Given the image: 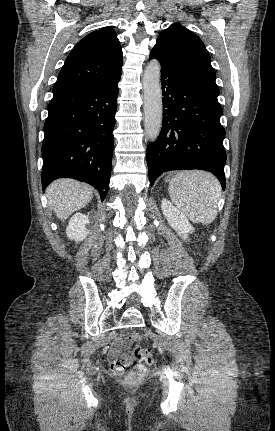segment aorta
<instances>
[{
  "label": "aorta",
  "instance_id": "aorta-1",
  "mask_svg": "<svg viewBox=\"0 0 275 431\" xmlns=\"http://www.w3.org/2000/svg\"><path fill=\"white\" fill-rule=\"evenodd\" d=\"M161 66L158 60H151L143 75L144 126L147 137L155 141L162 127V90L160 84Z\"/></svg>",
  "mask_w": 275,
  "mask_h": 431
}]
</instances>
